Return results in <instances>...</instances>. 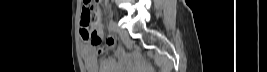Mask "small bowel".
Returning <instances> with one entry per match:
<instances>
[{"mask_svg": "<svg viewBox=\"0 0 267 72\" xmlns=\"http://www.w3.org/2000/svg\"><path fill=\"white\" fill-rule=\"evenodd\" d=\"M114 44V38L108 37L106 40V47H111ZM83 58L88 72H115L114 62L112 59H106L98 63L96 52L90 44H86L83 48Z\"/></svg>", "mask_w": 267, "mask_h": 72, "instance_id": "1", "label": "small bowel"}]
</instances>
